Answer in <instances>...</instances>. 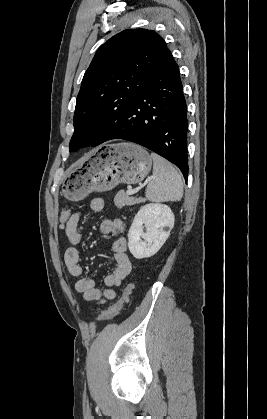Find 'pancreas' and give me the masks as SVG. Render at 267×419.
Returning a JSON list of instances; mask_svg holds the SVG:
<instances>
[{"instance_id": "obj_1", "label": "pancreas", "mask_w": 267, "mask_h": 419, "mask_svg": "<svg viewBox=\"0 0 267 419\" xmlns=\"http://www.w3.org/2000/svg\"><path fill=\"white\" fill-rule=\"evenodd\" d=\"M143 202V198H134L130 197L127 193H125L123 190H120L117 192L114 203L117 206V208H123L124 206H131L138 203Z\"/></svg>"}]
</instances>
